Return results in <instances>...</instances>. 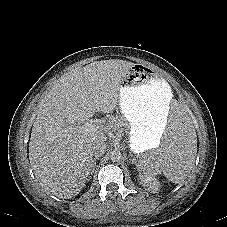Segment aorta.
<instances>
[{"label": "aorta", "instance_id": "aorta-1", "mask_svg": "<svg viewBox=\"0 0 227 227\" xmlns=\"http://www.w3.org/2000/svg\"><path fill=\"white\" fill-rule=\"evenodd\" d=\"M122 155L120 153V151H117V150H114L110 153V159L113 161V162H117L121 159Z\"/></svg>", "mask_w": 227, "mask_h": 227}]
</instances>
